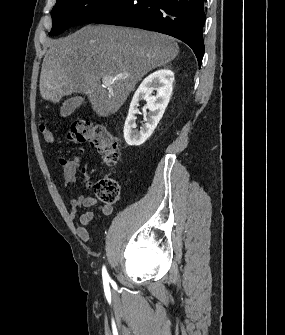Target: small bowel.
Here are the masks:
<instances>
[{"instance_id": "small-bowel-1", "label": "small bowel", "mask_w": 285, "mask_h": 335, "mask_svg": "<svg viewBox=\"0 0 285 335\" xmlns=\"http://www.w3.org/2000/svg\"><path fill=\"white\" fill-rule=\"evenodd\" d=\"M59 163L62 167L63 181L66 189H70L76 183L79 174L81 175L84 183L88 184L90 182V174L87 165L80 167L77 163L65 158H60ZM95 206H98V201L94 197L83 195L72 197L70 217L72 219H76L80 209H90ZM99 209L100 212L106 216L111 215L113 212V207L111 205L104 204L99 206ZM93 217V212L89 210L83 212L78 217L79 224L77 226V234L80 239L85 242L90 239L88 227L91 224Z\"/></svg>"}]
</instances>
